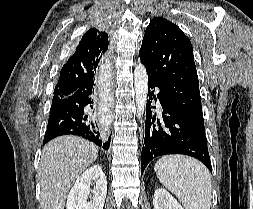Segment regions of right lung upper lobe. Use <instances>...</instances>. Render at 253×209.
<instances>
[{
  "mask_svg": "<svg viewBox=\"0 0 253 209\" xmlns=\"http://www.w3.org/2000/svg\"><path fill=\"white\" fill-rule=\"evenodd\" d=\"M107 49L108 34L96 28L89 29L61 69L54 96L71 94L94 81L100 59Z\"/></svg>",
  "mask_w": 253,
  "mask_h": 209,
  "instance_id": "obj_1",
  "label": "right lung upper lobe"
}]
</instances>
